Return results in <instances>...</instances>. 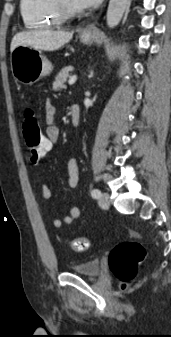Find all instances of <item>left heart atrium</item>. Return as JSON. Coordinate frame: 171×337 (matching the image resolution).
<instances>
[{
  "label": "left heart atrium",
  "mask_w": 171,
  "mask_h": 337,
  "mask_svg": "<svg viewBox=\"0 0 171 337\" xmlns=\"http://www.w3.org/2000/svg\"><path fill=\"white\" fill-rule=\"evenodd\" d=\"M101 0H72L76 8H89L97 5Z\"/></svg>",
  "instance_id": "obj_1"
}]
</instances>
